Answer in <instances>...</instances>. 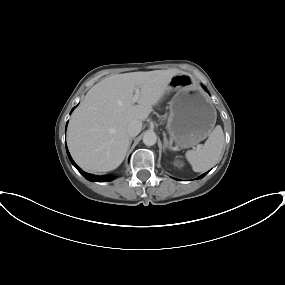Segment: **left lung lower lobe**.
I'll list each match as a JSON object with an SVG mask.
<instances>
[{"instance_id": "left-lung-lower-lobe-1", "label": "left lung lower lobe", "mask_w": 285, "mask_h": 285, "mask_svg": "<svg viewBox=\"0 0 285 285\" xmlns=\"http://www.w3.org/2000/svg\"><path fill=\"white\" fill-rule=\"evenodd\" d=\"M206 174H207V173H205V174L201 175V176H200V177H198L197 179H201V178H203Z\"/></svg>"}]
</instances>
